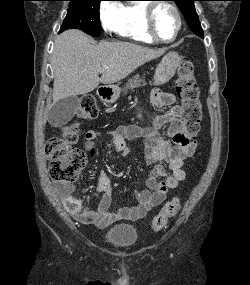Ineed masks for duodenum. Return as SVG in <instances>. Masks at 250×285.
Masks as SVG:
<instances>
[{"label":"duodenum","mask_w":250,"mask_h":285,"mask_svg":"<svg viewBox=\"0 0 250 285\" xmlns=\"http://www.w3.org/2000/svg\"><path fill=\"white\" fill-rule=\"evenodd\" d=\"M99 95L104 101H109L112 97V91L109 88H99Z\"/></svg>","instance_id":"1"}]
</instances>
